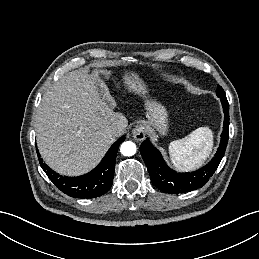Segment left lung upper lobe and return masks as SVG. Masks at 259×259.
<instances>
[{
	"mask_svg": "<svg viewBox=\"0 0 259 259\" xmlns=\"http://www.w3.org/2000/svg\"><path fill=\"white\" fill-rule=\"evenodd\" d=\"M216 94H217L218 97H220V96H225V92L223 91L222 87L219 86V85H218Z\"/></svg>",
	"mask_w": 259,
	"mask_h": 259,
	"instance_id": "5c2ea615",
	"label": "left lung upper lobe"
}]
</instances>
